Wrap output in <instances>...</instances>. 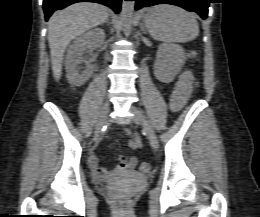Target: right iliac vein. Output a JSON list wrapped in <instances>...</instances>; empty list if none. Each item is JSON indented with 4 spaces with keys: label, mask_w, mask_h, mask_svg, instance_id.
<instances>
[{
    "label": "right iliac vein",
    "mask_w": 260,
    "mask_h": 217,
    "mask_svg": "<svg viewBox=\"0 0 260 217\" xmlns=\"http://www.w3.org/2000/svg\"><path fill=\"white\" fill-rule=\"evenodd\" d=\"M108 112H109V102L106 101L104 104H103V107H102V111H101V115H100V119L98 121V124L96 126V130H95V138H98L101 131H102V128L107 120V117H108Z\"/></svg>",
    "instance_id": "obj_1"
}]
</instances>
